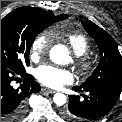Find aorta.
Returning <instances> with one entry per match:
<instances>
[{
  "instance_id": "1",
  "label": "aorta",
  "mask_w": 122,
  "mask_h": 122,
  "mask_svg": "<svg viewBox=\"0 0 122 122\" xmlns=\"http://www.w3.org/2000/svg\"><path fill=\"white\" fill-rule=\"evenodd\" d=\"M50 59L56 64H65L69 61V50L65 45L57 44L50 50ZM56 105L62 106L66 103V95L63 93H56L53 97Z\"/></svg>"
}]
</instances>
